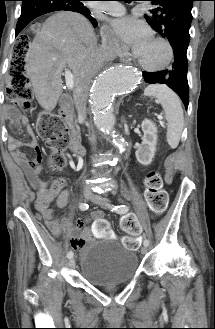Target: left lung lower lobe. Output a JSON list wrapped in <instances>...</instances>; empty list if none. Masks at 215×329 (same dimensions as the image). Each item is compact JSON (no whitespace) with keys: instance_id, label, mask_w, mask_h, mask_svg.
Listing matches in <instances>:
<instances>
[{"instance_id":"left-lung-lower-lobe-1","label":"left lung lower lobe","mask_w":215,"mask_h":329,"mask_svg":"<svg viewBox=\"0 0 215 329\" xmlns=\"http://www.w3.org/2000/svg\"><path fill=\"white\" fill-rule=\"evenodd\" d=\"M169 42L175 57L172 68L158 72H144L145 81L150 84H166L179 95L187 109L189 103L187 48L189 43L177 39L169 40Z\"/></svg>"}]
</instances>
